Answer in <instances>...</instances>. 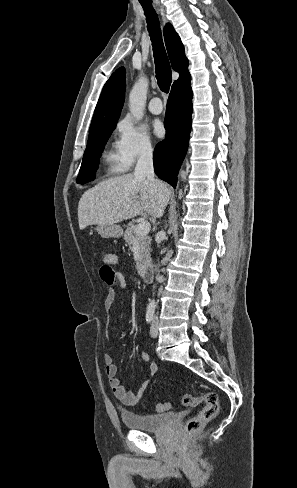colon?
Returning <instances> with one entry per match:
<instances>
[{"instance_id": "colon-1", "label": "colon", "mask_w": 297, "mask_h": 488, "mask_svg": "<svg viewBox=\"0 0 297 488\" xmlns=\"http://www.w3.org/2000/svg\"><path fill=\"white\" fill-rule=\"evenodd\" d=\"M111 259L106 255L103 257V265L101 266L99 273L101 279L107 285L114 282V270L108 263ZM182 403L185 406H197L203 404L201 411L194 417L190 418L185 424V432L188 434L196 433L202 430L207 423L213 420L219 412V398L216 393L208 392L200 396H194L191 394H185L182 397ZM170 408L169 403H159L156 405L155 410L157 412H164Z\"/></svg>"}]
</instances>
